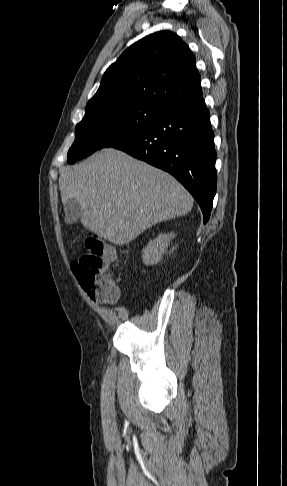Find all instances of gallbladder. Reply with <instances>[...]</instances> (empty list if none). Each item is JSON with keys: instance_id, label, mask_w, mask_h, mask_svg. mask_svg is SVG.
Here are the masks:
<instances>
[{"instance_id": "1", "label": "gallbladder", "mask_w": 287, "mask_h": 486, "mask_svg": "<svg viewBox=\"0 0 287 486\" xmlns=\"http://www.w3.org/2000/svg\"><path fill=\"white\" fill-rule=\"evenodd\" d=\"M64 211H65V222L67 224H73L77 222L83 210L76 199H71L65 205Z\"/></svg>"}]
</instances>
